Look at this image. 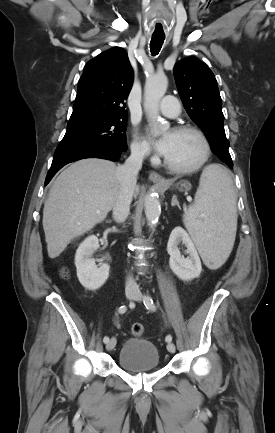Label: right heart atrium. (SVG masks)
<instances>
[{
	"label": "right heart atrium",
	"instance_id": "right-heart-atrium-1",
	"mask_svg": "<svg viewBox=\"0 0 275 433\" xmlns=\"http://www.w3.org/2000/svg\"><path fill=\"white\" fill-rule=\"evenodd\" d=\"M131 151L132 154L139 159L147 157L150 153L147 142L138 137L137 135L134 136V139L132 141Z\"/></svg>",
	"mask_w": 275,
	"mask_h": 433
}]
</instances>
